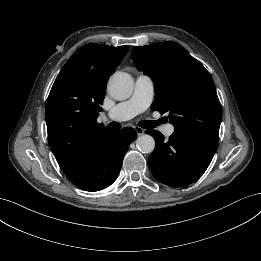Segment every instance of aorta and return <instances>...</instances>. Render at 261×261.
<instances>
[{
    "label": "aorta",
    "instance_id": "762f6f07",
    "mask_svg": "<svg viewBox=\"0 0 261 261\" xmlns=\"http://www.w3.org/2000/svg\"><path fill=\"white\" fill-rule=\"evenodd\" d=\"M133 88V79L125 72L114 73L107 85L109 94L119 101L129 98L133 93ZM136 146L142 153H151L155 148V140L152 136L143 134L137 138Z\"/></svg>",
    "mask_w": 261,
    "mask_h": 261
}]
</instances>
